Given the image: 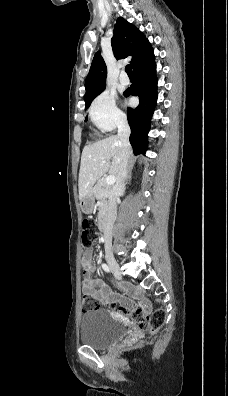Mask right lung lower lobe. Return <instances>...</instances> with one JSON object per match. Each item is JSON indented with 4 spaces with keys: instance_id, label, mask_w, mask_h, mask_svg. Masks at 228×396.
Segmentation results:
<instances>
[{
    "instance_id": "98d812e1",
    "label": "right lung lower lobe",
    "mask_w": 228,
    "mask_h": 396,
    "mask_svg": "<svg viewBox=\"0 0 228 396\" xmlns=\"http://www.w3.org/2000/svg\"><path fill=\"white\" fill-rule=\"evenodd\" d=\"M135 83L124 92L139 97L136 108H128L127 117L131 128L130 143L134 154H145L151 118L157 101V78L154 52L151 48L142 61L133 69Z\"/></svg>"
}]
</instances>
